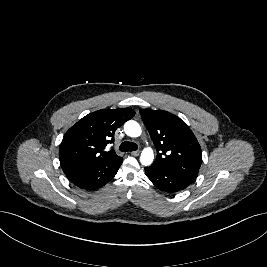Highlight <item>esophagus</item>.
Returning <instances> with one entry per match:
<instances>
[{
    "instance_id": "obj_1",
    "label": "esophagus",
    "mask_w": 267,
    "mask_h": 267,
    "mask_svg": "<svg viewBox=\"0 0 267 267\" xmlns=\"http://www.w3.org/2000/svg\"><path fill=\"white\" fill-rule=\"evenodd\" d=\"M131 154H132L133 156H138V155L140 154V151H133V152H131Z\"/></svg>"
}]
</instances>
